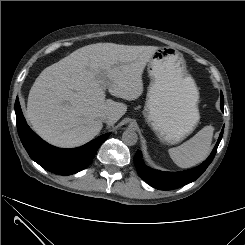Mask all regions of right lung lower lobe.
I'll use <instances>...</instances> for the list:
<instances>
[{"instance_id":"obj_1","label":"right lung lower lobe","mask_w":245,"mask_h":245,"mask_svg":"<svg viewBox=\"0 0 245 245\" xmlns=\"http://www.w3.org/2000/svg\"><path fill=\"white\" fill-rule=\"evenodd\" d=\"M15 112L19 137L31 159L44 169L60 175H71L85 169L92 162L100 145L110 135H101L78 148L60 149L46 143L30 129L18 98L15 102Z\"/></svg>"}]
</instances>
